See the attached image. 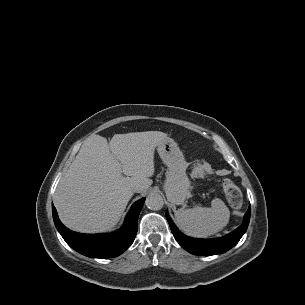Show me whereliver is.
Listing matches in <instances>:
<instances>
[{
	"label": "liver",
	"mask_w": 305,
	"mask_h": 305,
	"mask_svg": "<svg viewBox=\"0 0 305 305\" xmlns=\"http://www.w3.org/2000/svg\"><path fill=\"white\" fill-rule=\"evenodd\" d=\"M166 138L160 131L115 134L109 143L99 135L88 137L54 195L63 224L83 233L115 227L133 196L131 188L140 186L142 192L152 185L155 148Z\"/></svg>",
	"instance_id": "liver-1"
}]
</instances>
